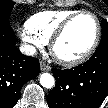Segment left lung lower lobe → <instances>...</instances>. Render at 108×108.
Segmentation results:
<instances>
[{
	"label": "left lung lower lobe",
	"mask_w": 108,
	"mask_h": 108,
	"mask_svg": "<svg viewBox=\"0 0 108 108\" xmlns=\"http://www.w3.org/2000/svg\"><path fill=\"white\" fill-rule=\"evenodd\" d=\"M56 85L47 97L49 108H98L108 96V52L98 50L71 69H52Z\"/></svg>",
	"instance_id": "obj_1"
}]
</instances>
